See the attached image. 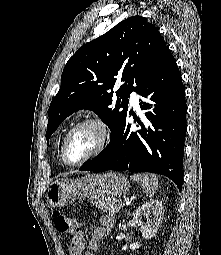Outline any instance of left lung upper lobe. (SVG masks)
<instances>
[{
    "instance_id": "5c2ea615",
    "label": "left lung upper lobe",
    "mask_w": 221,
    "mask_h": 255,
    "mask_svg": "<svg viewBox=\"0 0 221 255\" xmlns=\"http://www.w3.org/2000/svg\"><path fill=\"white\" fill-rule=\"evenodd\" d=\"M166 48L157 28L141 16L127 18L82 46L65 65L60 89L50 104L47 142L79 109L94 111L112 134L129 113L130 93H138ZM119 82L114 101L113 88Z\"/></svg>"
}]
</instances>
